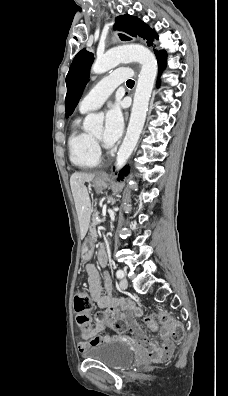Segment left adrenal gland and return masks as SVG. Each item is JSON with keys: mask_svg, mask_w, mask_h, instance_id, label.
I'll return each instance as SVG.
<instances>
[{"mask_svg": "<svg viewBox=\"0 0 228 396\" xmlns=\"http://www.w3.org/2000/svg\"><path fill=\"white\" fill-rule=\"evenodd\" d=\"M108 202L111 203V204L113 205V204L115 203V200H114L113 198L110 197V198L108 199Z\"/></svg>", "mask_w": 228, "mask_h": 396, "instance_id": "a2214340", "label": "left adrenal gland"}]
</instances>
